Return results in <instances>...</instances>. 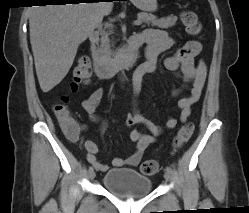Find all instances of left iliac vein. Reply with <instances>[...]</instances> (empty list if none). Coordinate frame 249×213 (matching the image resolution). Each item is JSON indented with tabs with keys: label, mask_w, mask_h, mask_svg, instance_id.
Masks as SVG:
<instances>
[{
	"label": "left iliac vein",
	"mask_w": 249,
	"mask_h": 213,
	"mask_svg": "<svg viewBox=\"0 0 249 213\" xmlns=\"http://www.w3.org/2000/svg\"><path fill=\"white\" fill-rule=\"evenodd\" d=\"M164 178H165V181H166V182H169L170 179H171L170 173H169V172H165V173H164Z\"/></svg>",
	"instance_id": "4c4485c4"
}]
</instances>
